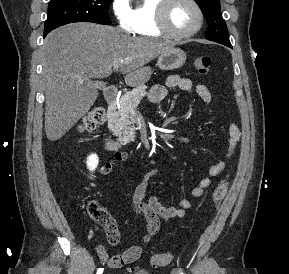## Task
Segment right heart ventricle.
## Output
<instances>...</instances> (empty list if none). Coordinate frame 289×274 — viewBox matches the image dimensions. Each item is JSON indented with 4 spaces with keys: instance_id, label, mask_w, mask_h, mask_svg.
Returning <instances> with one entry per match:
<instances>
[{
    "instance_id": "obj_1",
    "label": "right heart ventricle",
    "mask_w": 289,
    "mask_h": 274,
    "mask_svg": "<svg viewBox=\"0 0 289 274\" xmlns=\"http://www.w3.org/2000/svg\"><path fill=\"white\" fill-rule=\"evenodd\" d=\"M161 0H140L132 9V32L139 36L160 37L165 34L156 23V11Z\"/></svg>"
}]
</instances>
